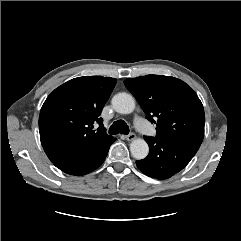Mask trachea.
Masks as SVG:
<instances>
[{"label": "trachea", "mask_w": 241, "mask_h": 241, "mask_svg": "<svg viewBox=\"0 0 241 241\" xmlns=\"http://www.w3.org/2000/svg\"><path fill=\"white\" fill-rule=\"evenodd\" d=\"M110 134H129V127L123 120L115 121L109 128Z\"/></svg>", "instance_id": "trachea-1"}]
</instances>
